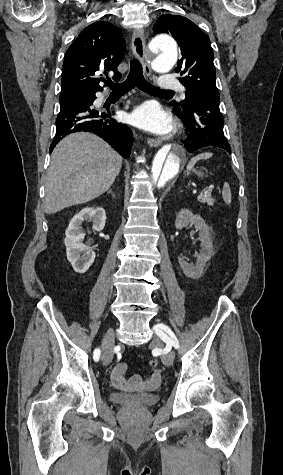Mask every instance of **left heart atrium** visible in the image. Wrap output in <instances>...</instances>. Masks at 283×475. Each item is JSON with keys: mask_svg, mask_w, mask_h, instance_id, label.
<instances>
[{"mask_svg": "<svg viewBox=\"0 0 283 475\" xmlns=\"http://www.w3.org/2000/svg\"><path fill=\"white\" fill-rule=\"evenodd\" d=\"M131 123L143 131L158 135H165L173 128L171 116L154 101L136 107L131 113Z\"/></svg>", "mask_w": 283, "mask_h": 475, "instance_id": "1", "label": "left heart atrium"}]
</instances>
